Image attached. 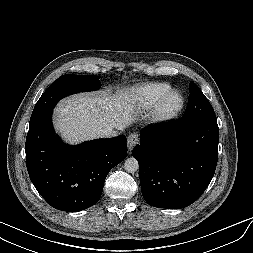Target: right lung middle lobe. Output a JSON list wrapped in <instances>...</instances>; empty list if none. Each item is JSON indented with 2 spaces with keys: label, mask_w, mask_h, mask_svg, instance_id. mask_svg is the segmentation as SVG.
Instances as JSON below:
<instances>
[{
  "label": "right lung middle lobe",
  "mask_w": 253,
  "mask_h": 253,
  "mask_svg": "<svg viewBox=\"0 0 253 253\" xmlns=\"http://www.w3.org/2000/svg\"><path fill=\"white\" fill-rule=\"evenodd\" d=\"M100 87L98 76L66 74L58 78L43 93L36 103L30 121L52 110L57 102L70 94L97 90Z\"/></svg>",
  "instance_id": "right-lung-middle-lobe-1"
}]
</instances>
